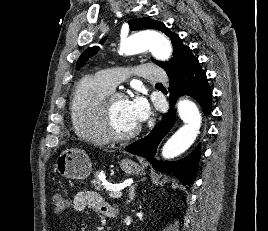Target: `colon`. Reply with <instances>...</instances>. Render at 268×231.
<instances>
[{
    "label": "colon",
    "mask_w": 268,
    "mask_h": 231,
    "mask_svg": "<svg viewBox=\"0 0 268 231\" xmlns=\"http://www.w3.org/2000/svg\"><path fill=\"white\" fill-rule=\"evenodd\" d=\"M52 200L54 210L57 213H64L70 208L69 198L62 192L54 193Z\"/></svg>",
    "instance_id": "obj_1"
}]
</instances>
